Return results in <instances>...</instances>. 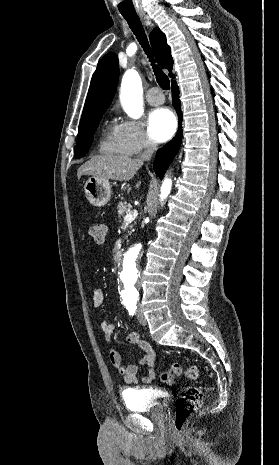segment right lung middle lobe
Masks as SVG:
<instances>
[{"label": "right lung middle lobe", "instance_id": "1", "mask_svg": "<svg viewBox=\"0 0 279 465\" xmlns=\"http://www.w3.org/2000/svg\"><path fill=\"white\" fill-rule=\"evenodd\" d=\"M104 112L105 111L98 114L96 118H94L88 124L79 127L78 139L74 148L75 158H80L88 152L89 147L91 146V143L93 141V134Z\"/></svg>", "mask_w": 279, "mask_h": 465}]
</instances>
